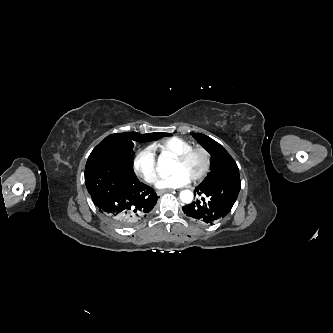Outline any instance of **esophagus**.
I'll use <instances>...</instances> for the list:
<instances>
[{"instance_id": "obj_1", "label": "esophagus", "mask_w": 333, "mask_h": 333, "mask_svg": "<svg viewBox=\"0 0 333 333\" xmlns=\"http://www.w3.org/2000/svg\"><path fill=\"white\" fill-rule=\"evenodd\" d=\"M172 191H173L172 189L160 190V191L157 192V195H158V196H161V195L164 194V193L172 192Z\"/></svg>"}]
</instances>
